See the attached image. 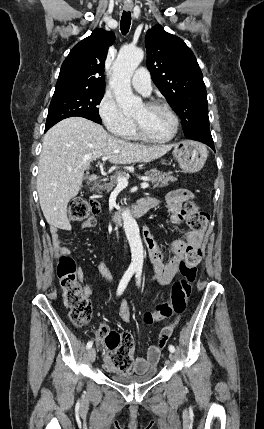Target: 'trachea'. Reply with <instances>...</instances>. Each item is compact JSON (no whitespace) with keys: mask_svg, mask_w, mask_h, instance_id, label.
Wrapping results in <instances>:
<instances>
[{"mask_svg":"<svg viewBox=\"0 0 264 429\" xmlns=\"http://www.w3.org/2000/svg\"><path fill=\"white\" fill-rule=\"evenodd\" d=\"M130 25H131V13L129 11H123L121 22H120V29L124 35L128 33Z\"/></svg>","mask_w":264,"mask_h":429,"instance_id":"obj_1","label":"trachea"}]
</instances>
